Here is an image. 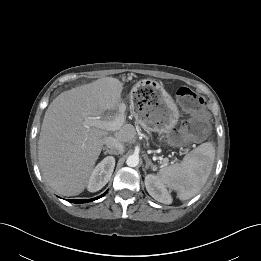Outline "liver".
Listing matches in <instances>:
<instances>
[{
  "label": "liver",
  "mask_w": 261,
  "mask_h": 261,
  "mask_svg": "<svg viewBox=\"0 0 261 261\" xmlns=\"http://www.w3.org/2000/svg\"><path fill=\"white\" fill-rule=\"evenodd\" d=\"M123 84L105 77L62 92L49 105L41 126L38 159L47 184L58 194L75 196L84 191L100 155L108 131L93 125L94 120L116 110L121 102ZM121 143H131L136 130L124 124L114 133Z\"/></svg>",
  "instance_id": "6515ba94"
}]
</instances>
